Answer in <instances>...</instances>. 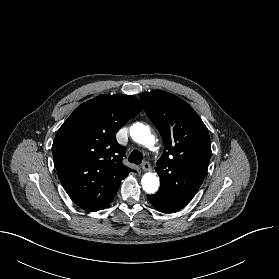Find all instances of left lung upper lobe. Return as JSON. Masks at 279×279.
Instances as JSON below:
<instances>
[{
  "label": "left lung upper lobe",
  "mask_w": 279,
  "mask_h": 279,
  "mask_svg": "<svg viewBox=\"0 0 279 279\" xmlns=\"http://www.w3.org/2000/svg\"><path fill=\"white\" fill-rule=\"evenodd\" d=\"M140 98L165 146L155 168L160 176L158 192L192 199L211 157L207 127L188 103L171 93L155 90L142 93Z\"/></svg>",
  "instance_id": "left-lung-upper-lobe-1"
}]
</instances>
